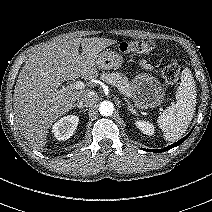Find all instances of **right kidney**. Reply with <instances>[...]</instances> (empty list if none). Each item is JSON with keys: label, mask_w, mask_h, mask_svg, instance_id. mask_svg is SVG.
Listing matches in <instances>:
<instances>
[{"label": "right kidney", "mask_w": 212, "mask_h": 212, "mask_svg": "<svg viewBox=\"0 0 212 212\" xmlns=\"http://www.w3.org/2000/svg\"><path fill=\"white\" fill-rule=\"evenodd\" d=\"M79 122V117L75 115H68L58 120L52 127V132L57 140L69 139Z\"/></svg>", "instance_id": "right-kidney-1"}]
</instances>
